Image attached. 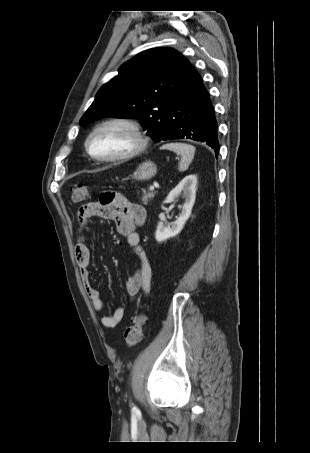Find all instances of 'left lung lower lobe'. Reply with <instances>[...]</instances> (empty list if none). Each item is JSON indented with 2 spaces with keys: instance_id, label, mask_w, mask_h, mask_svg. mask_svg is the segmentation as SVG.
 Segmentation results:
<instances>
[{
  "instance_id": "0a47b994",
  "label": "left lung lower lobe",
  "mask_w": 310,
  "mask_h": 453,
  "mask_svg": "<svg viewBox=\"0 0 310 453\" xmlns=\"http://www.w3.org/2000/svg\"><path fill=\"white\" fill-rule=\"evenodd\" d=\"M161 140L191 139L204 142L219 153L218 124L209 92L201 76L190 67L187 81L168 113Z\"/></svg>"
}]
</instances>
